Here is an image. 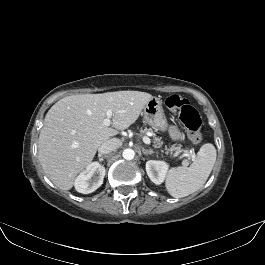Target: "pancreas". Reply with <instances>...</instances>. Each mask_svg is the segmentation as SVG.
Instances as JSON below:
<instances>
[{
    "label": "pancreas",
    "instance_id": "obj_1",
    "mask_svg": "<svg viewBox=\"0 0 265 265\" xmlns=\"http://www.w3.org/2000/svg\"><path fill=\"white\" fill-rule=\"evenodd\" d=\"M145 131L151 132V134L153 135V142L155 144L161 145V138L156 137L155 133H153V131L151 129H145ZM183 151L184 150L181 148V145L174 144L171 147L167 148L165 153L166 154L171 153L173 156H177L178 154H180Z\"/></svg>",
    "mask_w": 265,
    "mask_h": 265
}]
</instances>
